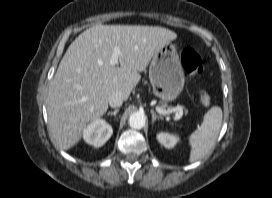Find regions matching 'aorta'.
<instances>
[{
	"mask_svg": "<svg viewBox=\"0 0 272 198\" xmlns=\"http://www.w3.org/2000/svg\"><path fill=\"white\" fill-rule=\"evenodd\" d=\"M129 125L134 129H141L145 125V116L140 112L132 113L129 117Z\"/></svg>",
	"mask_w": 272,
	"mask_h": 198,
	"instance_id": "762f6f07",
	"label": "aorta"
}]
</instances>
